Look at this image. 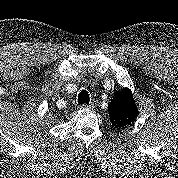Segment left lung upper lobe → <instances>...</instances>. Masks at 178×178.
I'll use <instances>...</instances> for the list:
<instances>
[{
    "label": "left lung upper lobe",
    "instance_id": "1",
    "mask_svg": "<svg viewBox=\"0 0 178 178\" xmlns=\"http://www.w3.org/2000/svg\"><path fill=\"white\" fill-rule=\"evenodd\" d=\"M109 118L116 128L125 127L135 121L138 109L129 89L123 88L115 93L108 106Z\"/></svg>",
    "mask_w": 178,
    "mask_h": 178
}]
</instances>
